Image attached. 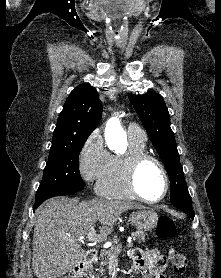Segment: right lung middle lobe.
Wrapping results in <instances>:
<instances>
[{"label": "right lung middle lobe", "mask_w": 221, "mask_h": 278, "mask_svg": "<svg viewBox=\"0 0 221 278\" xmlns=\"http://www.w3.org/2000/svg\"><path fill=\"white\" fill-rule=\"evenodd\" d=\"M85 141L50 148L43 179L36 193V202L45 201L60 190L83 189L78 158Z\"/></svg>", "instance_id": "right-lung-middle-lobe-1"}]
</instances>
